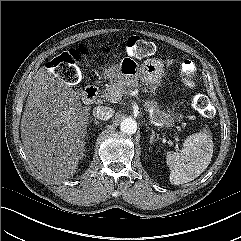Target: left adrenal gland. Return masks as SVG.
<instances>
[{
	"mask_svg": "<svg viewBox=\"0 0 241 241\" xmlns=\"http://www.w3.org/2000/svg\"><path fill=\"white\" fill-rule=\"evenodd\" d=\"M147 128L150 129L149 126ZM155 137H156V134H155L154 130L151 129V136H150V141L149 142L153 143L155 141Z\"/></svg>",
	"mask_w": 241,
	"mask_h": 241,
	"instance_id": "obj_1",
	"label": "left adrenal gland"
}]
</instances>
